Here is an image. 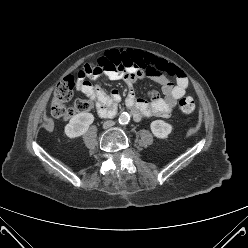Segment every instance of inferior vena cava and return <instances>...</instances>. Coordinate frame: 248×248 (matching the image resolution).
<instances>
[{"mask_svg": "<svg viewBox=\"0 0 248 248\" xmlns=\"http://www.w3.org/2000/svg\"><path fill=\"white\" fill-rule=\"evenodd\" d=\"M114 125H115V122H114V121H112V120H107V121L104 122L103 128H104V129H108V128L114 126Z\"/></svg>", "mask_w": 248, "mask_h": 248, "instance_id": "602c4592", "label": "inferior vena cava"}]
</instances>
